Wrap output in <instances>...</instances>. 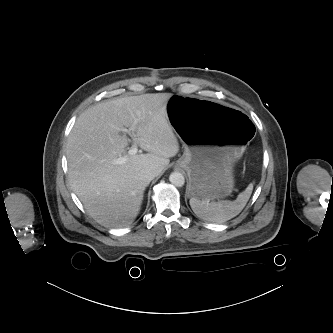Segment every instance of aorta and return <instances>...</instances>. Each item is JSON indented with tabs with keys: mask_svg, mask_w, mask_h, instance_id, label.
<instances>
[{
	"mask_svg": "<svg viewBox=\"0 0 333 333\" xmlns=\"http://www.w3.org/2000/svg\"><path fill=\"white\" fill-rule=\"evenodd\" d=\"M169 181L176 187H182L185 183V178L181 173L173 172L169 176Z\"/></svg>",
	"mask_w": 333,
	"mask_h": 333,
	"instance_id": "762f6f07",
	"label": "aorta"
}]
</instances>
